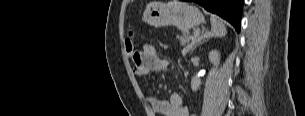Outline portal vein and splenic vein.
I'll list each match as a JSON object with an SVG mask.
<instances>
[{
  "mask_svg": "<svg viewBox=\"0 0 305 116\" xmlns=\"http://www.w3.org/2000/svg\"><path fill=\"white\" fill-rule=\"evenodd\" d=\"M199 33H194V36L192 37V39L196 38L198 36Z\"/></svg>",
  "mask_w": 305,
  "mask_h": 116,
  "instance_id": "18ae733b",
  "label": "portal vein and splenic vein"
}]
</instances>
